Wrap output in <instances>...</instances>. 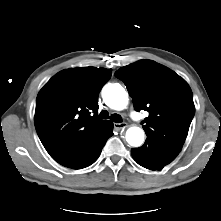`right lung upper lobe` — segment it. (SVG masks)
Wrapping results in <instances>:
<instances>
[{
    "mask_svg": "<svg viewBox=\"0 0 221 221\" xmlns=\"http://www.w3.org/2000/svg\"><path fill=\"white\" fill-rule=\"evenodd\" d=\"M112 70L83 67L54 75L36 99L37 134L57 162L67 158L108 123L100 120L98 95Z\"/></svg>",
    "mask_w": 221,
    "mask_h": 221,
    "instance_id": "right-lung-upper-lobe-1",
    "label": "right lung upper lobe"
}]
</instances>
